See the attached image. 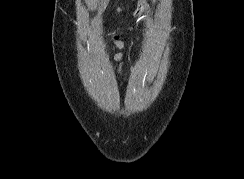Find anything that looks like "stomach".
I'll use <instances>...</instances> for the list:
<instances>
[{
  "instance_id": "0dacf381",
  "label": "stomach",
  "mask_w": 244,
  "mask_h": 179,
  "mask_svg": "<svg viewBox=\"0 0 244 179\" xmlns=\"http://www.w3.org/2000/svg\"><path fill=\"white\" fill-rule=\"evenodd\" d=\"M144 6V5H143ZM139 12H135V16H138Z\"/></svg>"
}]
</instances>
